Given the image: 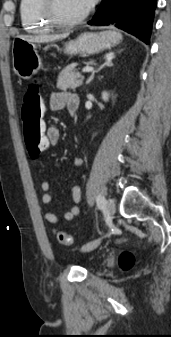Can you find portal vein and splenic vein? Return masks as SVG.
Segmentation results:
<instances>
[{"label":"portal vein and splenic vein","mask_w":171,"mask_h":337,"mask_svg":"<svg viewBox=\"0 0 171 337\" xmlns=\"http://www.w3.org/2000/svg\"><path fill=\"white\" fill-rule=\"evenodd\" d=\"M91 71H93V67H84L83 69H82V72H84V73H86V72H91Z\"/></svg>","instance_id":"portal-vein-and-splenic-vein-1"}]
</instances>
